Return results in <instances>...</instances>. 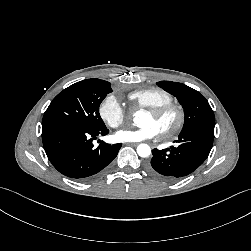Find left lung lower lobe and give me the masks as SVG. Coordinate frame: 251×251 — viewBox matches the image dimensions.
<instances>
[{"mask_svg":"<svg viewBox=\"0 0 251 251\" xmlns=\"http://www.w3.org/2000/svg\"><path fill=\"white\" fill-rule=\"evenodd\" d=\"M214 140V131L190 130L180 133L176 147L153 149L147 169L164 181H175L195 171L208 157Z\"/></svg>","mask_w":251,"mask_h":251,"instance_id":"0a47b994","label":"left lung lower lobe"}]
</instances>
